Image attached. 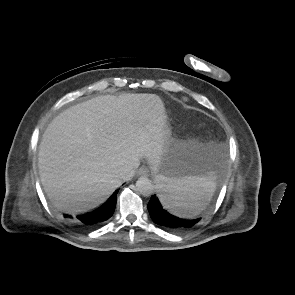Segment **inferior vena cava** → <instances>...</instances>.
<instances>
[{
    "mask_svg": "<svg viewBox=\"0 0 295 295\" xmlns=\"http://www.w3.org/2000/svg\"><path fill=\"white\" fill-rule=\"evenodd\" d=\"M134 173H135L134 170L129 171V173L123 177V180L126 181L131 179L134 176Z\"/></svg>",
    "mask_w": 295,
    "mask_h": 295,
    "instance_id": "obj_1",
    "label": "inferior vena cava"
}]
</instances>
